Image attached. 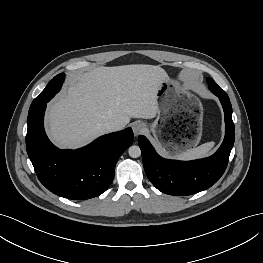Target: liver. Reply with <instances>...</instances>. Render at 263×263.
Returning <instances> with one entry per match:
<instances>
[{
    "label": "liver",
    "instance_id": "6515ba94",
    "mask_svg": "<svg viewBox=\"0 0 263 263\" xmlns=\"http://www.w3.org/2000/svg\"><path fill=\"white\" fill-rule=\"evenodd\" d=\"M167 78L160 66L145 64L102 66L75 75L49 105L52 141L61 148H78L108 133L109 121L123 129L131 118H154L159 113L157 93Z\"/></svg>",
    "mask_w": 263,
    "mask_h": 263
}]
</instances>
